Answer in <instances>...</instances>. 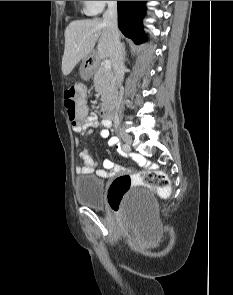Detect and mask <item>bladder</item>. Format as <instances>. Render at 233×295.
<instances>
[{
	"label": "bladder",
	"instance_id": "obj_1",
	"mask_svg": "<svg viewBox=\"0 0 233 295\" xmlns=\"http://www.w3.org/2000/svg\"><path fill=\"white\" fill-rule=\"evenodd\" d=\"M104 192V182L94 176L81 175L75 179L76 198L84 206L96 210L104 209ZM125 211L143 222H148L157 216L158 203L153 193L143 188L136 193Z\"/></svg>",
	"mask_w": 233,
	"mask_h": 295
}]
</instances>
